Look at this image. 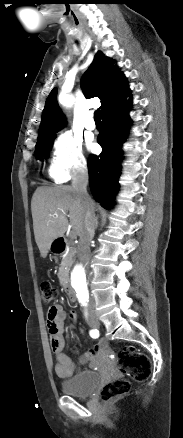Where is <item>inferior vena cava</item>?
<instances>
[{
	"label": "inferior vena cava",
	"instance_id": "1",
	"mask_svg": "<svg viewBox=\"0 0 183 438\" xmlns=\"http://www.w3.org/2000/svg\"><path fill=\"white\" fill-rule=\"evenodd\" d=\"M88 170L86 165L82 164L75 169L72 178V187L77 192L85 205L84 228L81 232L77 256L84 267L87 268L90 259V242L95 234V214L94 209L90 205V197L87 193ZM95 301L92 297L89 298L88 308H94Z\"/></svg>",
	"mask_w": 183,
	"mask_h": 438
}]
</instances>
